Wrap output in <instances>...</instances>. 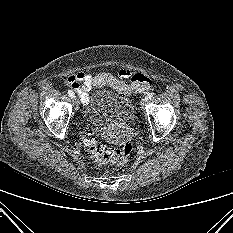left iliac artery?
I'll return each instance as SVG.
<instances>
[{
	"mask_svg": "<svg viewBox=\"0 0 233 233\" xmlns=\"http://www.w3.org/2000/svg\"><path fill=\"white\" fill-rule=\"evenodd\" d=\"M153 95H154V94H153L152 92H150V93L147 94L146 97H147L148 99H151V98L153 97Z\"/></svg>",
	"mask_w": 233,
	"mask_h": 233,
	"instance_id": "left-iliac-artery-1",
	"label": "left iliac artery"
}]
</instances>
